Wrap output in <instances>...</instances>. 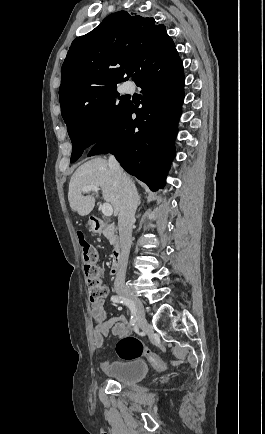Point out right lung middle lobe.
<instances>
[{
    "instance_id": "1",
    "label": "right lung middle lobe",
    "mask_w": 265,
    "mask_h": 434,
    "mask_svg": "<svg viewBox=\"0 0 265 434\" xmlns=\"http://www.w3.org/2000/svg\"><path fill=\"white\" fill-rule=\"evenodd\" d=\"M118 83L109 81L60 100L61 114L72 141L71 162L109 134L125 116L131 101L119 96Z\"/></svg>"
}]
</instances>
